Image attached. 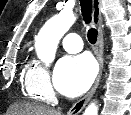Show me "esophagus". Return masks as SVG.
<instances>
[{
    "mask_svg": "<svg viewBox=\"0 0 131 115\" xmlns=\"http://www.w3.org/2000/svg\"><path fill=\"white\" fill-rule=\"evenodd\" d=\"M101 21H102L101 0H93V24L94 26L97 27L98 30L97 43L95 47V56L99 64V73L89 92L83 98H81L79 101L73 104V106L69 109L67 115H78L90 101L99 85L103 72V46H104L103 29Z\"/></svg>",
    "mask_w": 131,
    "mask_h": 115,
    "instance_id": "34e87169",
    "label": "esophagus"
}]
</instances>
